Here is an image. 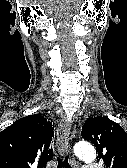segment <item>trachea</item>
<instances>
[{"instance_id": "3493384b", "label": "trachea", "mask_w": 127, "mask_h": 168, "mask_svg": "<svg viewBox=\"0 0 127 168\" xmlns=\"http://www.w3.org/2000/svg\"><path fill=\"white\" fill-rule=\"evenodd\" d=\"M58 166L57 168H71L69 162H68V156H65V158L58 157Z\"/></svg>"}]
</instances>
